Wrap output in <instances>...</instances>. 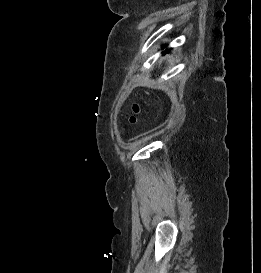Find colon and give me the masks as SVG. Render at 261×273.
<instances>
[{"instance_id":"1","label":"colon","mask_w":261,"mask_h":273,"mask_svg":"<svg viewBox=\"0 0 261 273\" xmlns=\"http://www.w3.org/2000/svg\"><path fill=\"white\" fill-rule=\"evenodd\" d=\"M133 112H134V115L130 117L129 122L131 125H136L138 122L137 116L143 112V109L141 108L140 105L134 104L133 105Z\"/></svg>"}]
</instances>
